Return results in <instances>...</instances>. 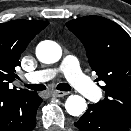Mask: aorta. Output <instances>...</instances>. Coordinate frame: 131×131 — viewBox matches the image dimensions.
Returning a JSON list of instances; mask_svg holds the SVG:
<instances>
[{
	"label": "aorta",
	"mask_w": 131,
	"mask_h": 131,
	"mask_svg": "<svg viewBox=\"0 0 131 131\" xmlns=\"http://www.w3.org/2000/svg\"><path fill=\"white\" fill-rule=\"evenodd\" d=\"M62 55L61 47L53 41H43L36 48V56L42 63L51 64L57 62ZM87 104L79 95H71L65 102L68 114L79 116L86 110Z\"/></svg>",
	"instance_id": "1"
}]
</instances>
